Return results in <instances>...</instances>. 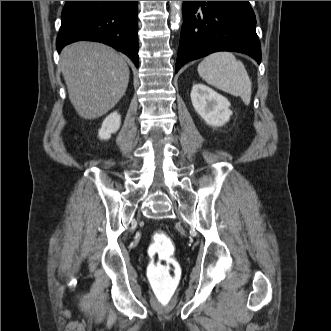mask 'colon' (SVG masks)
Wrapping results in <instances>:
<instances>
[{"label":"colon","instance_id":"obj_1","mask_svg":"<svg viewBox=\"0 0 331 331\" xmlns=\"http://www.w3.org/2000/svg\"><path fill=\"white\" fill-rule=\"evenodd\" d=\"M148 279L158 305L168 306L177 291L180 266L174 258V244L168 234L156 231L149 249Z\"/></svg>","mask_w":331,"mask_h":331}]
</instances>
